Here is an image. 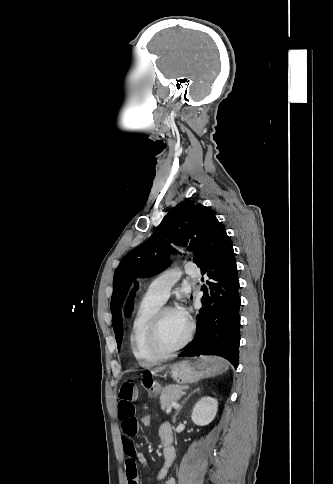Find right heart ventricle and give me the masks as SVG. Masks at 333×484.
<instances>
[{"mask_svg": "<svg viewBox=\"0 0 333 484\" xmlns=\"http://www.w3.org/2000/svg\"><path fill=\"white\" fill-rule=\"evenodd\" d=\"M161 305L162 302L145 295L138 305L132 322L130 346L134 357L142 366L153 365L161 359L153 355L147 346V331L150 321Z\"/></svg>", "mask_w": 333, "mask_h": 484, "instance_id": "obj_1", "label": "right heart ventricle"}]
</instances>
